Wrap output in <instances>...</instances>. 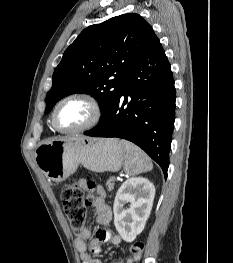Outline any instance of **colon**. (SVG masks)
Masks as SVG:
<instances>
[{"label":"colon","mask_w":233,"mask_h":263,"mask_svg":"<svg viewBox=\"0 0 233 263\" xmlns=\"http://www.w3.org/2000/svg\"><path fill=\"white\" fill-rule=\"evenodd\" d=\"M89 190H94L95 181L92 177L88 178ZM61 200L65 215L75 229L76 234H80L86 221V204L84 203L81 190L73 185H66L61 192ZM87 204H92V199L87 200ZM145 244L141 241H136L131 245L130 251L134 261H139L143 256Z\"/></svg>","instance_id":"obj_1"}]
</instances>
